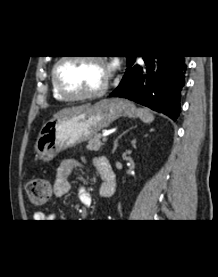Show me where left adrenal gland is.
I'll use <instances>...</instances> for the list:
<instances>
[{
	"instance_id": "1",
	"label": "left adrenal gland",
	"mask_w": 218,
	"mask_h": 277,
	"mask_svg": "<svg viewBox=\"0 0 218 277\" xmlns=\"http://www.w3.org/2000/svg\"><path fill=\"white\" fill-rule=\"evenodd\" d=\"M132 128L128 129L127 131L123 132L120 136H118L115 141H114V147L112 150V154H114V152L116 151L117 147L119 146L118 141L122 138V136L124 134H126L128 131H130ZM151 131H153V129H151Z\"/></svg>"
}]
</instances>
